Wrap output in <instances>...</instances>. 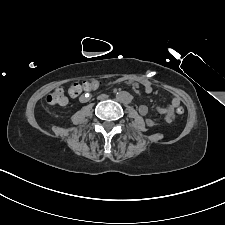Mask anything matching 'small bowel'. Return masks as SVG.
<instances>
[{
  "label": "small bowel",
  "instance_id": "1",
  "mask_svg": "<svg viewBox=\"0 0 225 225\" xmlns=\"http://www.w3.org/2000/svg\"><path fill=\"white\" fill-rule=\"evenodd\" d=\"M93 83V86L90 90L88 91H93L96 90L99 86H100V82L98 80H91ZM143 87L146 93H151L153 88L152 85L149 82H144L143 83ZM89 94L83 95L80 100L81 101H86L87 97ZM181 106V101L180 98L177 95H173L171 103L166 106V107H161V106H157L156 109L160 114V118L159 119H150L148 118L146 120V123L148 126H154L159 120L160 121H164L166 123H172L175 120V111L177 109V107ZM139 113L142 116H146L148 114V107L146 105H140L139 108Z\"/></svg>",
  "mask_w": 225,
  "mask_h": 225
}]
</instances>
